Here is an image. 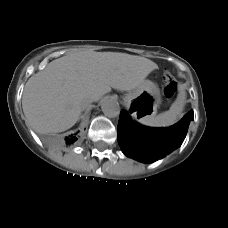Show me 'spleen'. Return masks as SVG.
Masks as SVG:
<instances>
[{"label": "spleen", "mask_w": 228, "mask_h": 228, "mask_svg": "<svg viewBox=\"0 0 228 228\" xmlns=\"http://www.w3.org/2000/svg\"><path fill=\"white\" fill-rule=\"evenodd\" d=\"M186 100V92L184 89H180L177 99L171 105L168 111L160 113L156 116L147 117L143 119L141 122L145 125L152 127H165L170 126L177 122L180 114L183 111Z\"/></svg>", "instance_id": "obj_1"}]
</instances>
